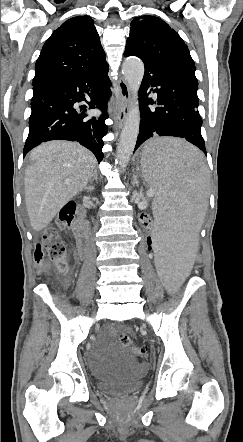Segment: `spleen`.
I'll list each match as a JSON object with an SVG mask.
<instances>
[{
    "instance_id": "3e777b00",
    "label": "spleen",
    "mask_w": 243,
    "mask_h": 442,
    "mask_svg": "<svg viewBox=\"0 0 243 442\" xmlns=\"http://www.w3.org/2000/svg\"><path fill=\"white\" fill-rule=\"evenodd\" d=\"M139 178L153 184V209L158 233L157 274L168 291L182 286L189 272L191 253L197 252L198 233L206 212V166L202 153L182 139L149 141L140 155Z\"/></svg>"
}]
</instances>
